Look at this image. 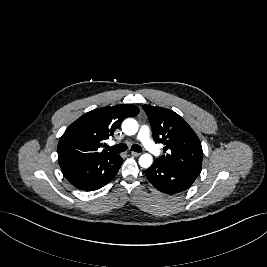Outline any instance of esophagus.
Returning <instances> with one entry per match:
<instances>
[{"mask_svg": "<svg viewBox=\"0 0 267 267\" xmlns=\"http://www.w3.org/2000/svg\"><path fill=\"white\" fill-rule=\"evenodd\" d=\"M131 155H132L133 157H138V156L140 155V153H138V152H131Z\"/></svg>", "mask_w": 267, "mask_h": 267, "instance_id": "obj_1", "label": "esophagus"}]
</instances>
